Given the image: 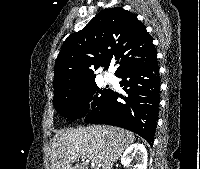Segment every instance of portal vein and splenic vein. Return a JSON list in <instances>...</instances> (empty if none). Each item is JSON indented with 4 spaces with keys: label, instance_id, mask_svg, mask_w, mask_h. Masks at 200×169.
Wrapping results in <instances>:
<instances>
[{
    "label": "portal vein and splenic vein",
    "instance_id": "1",
    "mask_svg": "<svg viewBox=\"0 0 200 169\" xmlns=\"http://www.w3.org/2000/svg\"><path fill=\"white\" fill-rule=\"evenodd\" d=\"M87 162H89V160H87ZM95 163H100V162L95 161Z\"/></svg>",
    "mask_w": 200,
    "mask_h": 169
}]
</instances>
